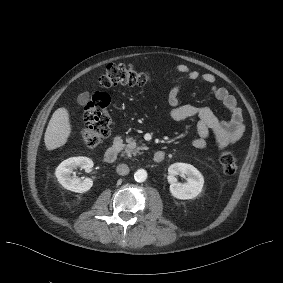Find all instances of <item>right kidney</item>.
Listing matches in <instances>:
<instances>
[{
    "mask_svg": "<svg viewBox=\"0 0 283 283\" xmlns=\"http://www.w3.org/2000/svg\"><path fill=\"white\" fill-rule=\"evenodd\" d=\"M93 161L88 157H71L64 160L55 170V175L59 183L67 190L83 193L88 191L93 182L90 178H72L71 174L76 167L90 171Z\"/></svg>",
    "mask_w": 283,
    "mask_h": 283,
    "instance_id": "obj_1",
    "label": "right kidney"
}]
</instances>
